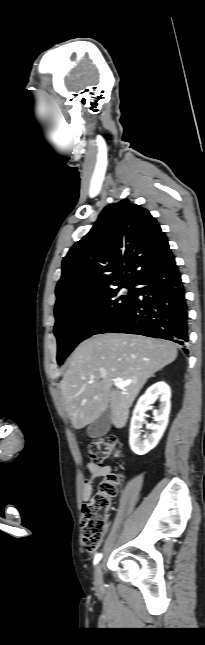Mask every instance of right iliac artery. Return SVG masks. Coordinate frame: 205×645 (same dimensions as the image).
<instances>
[{
    "mask_svg": "<svg viewBox=\"0 0 205 645\" xmlns=\"http://www.w3.org/2000/svg\"><path fill=\"white\" fill-rule=\"evenodd\" d=\"M101 558H102V554L101 553L97 554L94 558V564L96 565Z\"/></svg>",
    "mask_w": 205,
    "mask_h": 645,
    "instance_id": "right-iliac-artery-1",
    "label": "right iliac artery"
}]
</instances>
